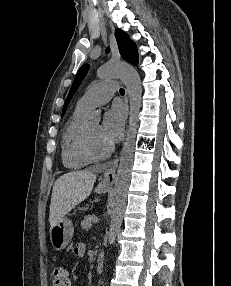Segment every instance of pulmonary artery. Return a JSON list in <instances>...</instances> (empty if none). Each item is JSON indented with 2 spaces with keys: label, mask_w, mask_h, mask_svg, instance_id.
Returning <instances> with one entry per match:
<instances>
[{
  "label": "pulmonary artery",
  "mask_w": 231,
  "mask_h": 286,
  "mask_svg": "<svg viewBox=\"0 0 231 286\" xmlns=\"http://www.w3.org/2000/svg\"><path fill=\"white\" fill-rule=\"evenodd\" d=\"M117 90V83L113 80H106L97 83L88 89L79 99L77 107L89 110L93 107L107 103Z\"/></svg>",
  "instance_id": "1"
}]
</instances>
